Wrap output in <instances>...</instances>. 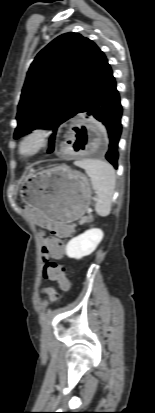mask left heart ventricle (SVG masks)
Listing matches in <instances>:
<instances>
[{
	"label": "left heart ventricle",
	"mask_w": 155,
	"mask_h": 413,
	"mask_svg": "<svg viewBox=\"0 0 155 413\" xmlns=\"http://www.w3.org/2000/svg\"><path fill=\"white\" fill-rule=\"evenodd\" d=\"M28 149H29V146H26V147H25V150L27 151Z\"/></svg>",
	"instance_id": "left-heart-ventricle-1"
}]
</instances>
